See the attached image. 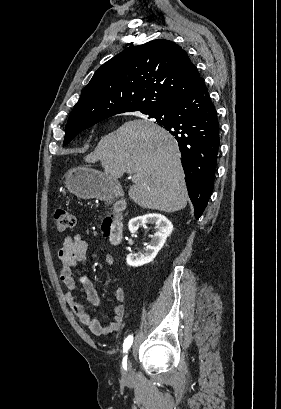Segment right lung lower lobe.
<instances>
[{
	"instance_id": "right-lung-lower-lobe-1",
	"label": "right lung lower lobe",
	"mask_w": 281,
	"mask_h": 409,
	"mask_svg": "<svg viewBox=\"0 0 281 409\" xmlns=\"http://www.w3.org/2000/svg\"><path fill=\"white\" fill-rule=\"evenodd\" d=\"M178 142L188 194L198 219L211 196L219 149V122L203 79L182 98L148 113Z\"/></svg>"
}]
</instances>
